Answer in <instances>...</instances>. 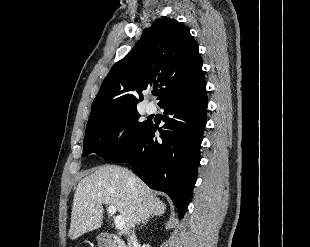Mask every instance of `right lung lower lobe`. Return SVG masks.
Instances as JSON below:
<instances>
[{
	"label": "right lung lower lobe",
	"instance_id": "1",
	"mask_svg": "<svg viewBox=\"0 0 310 247\" xmlns=\"http://www.w3.org/2000/svg\"><path fill=\"white\" fill-rule=\"evenodd\" d=\"M165 124L149 123L134 144L113 162L129 163L133 171L152 189L167 193L181 219L187 209L197 179L200 146L206 125V82L177 94L160 105Z\"/></svg>",
	"mask_w": 310,
	"mask_h": 247
}]
</instances>
